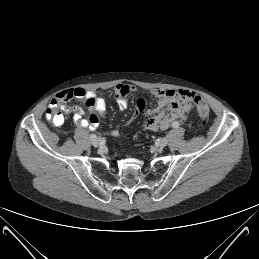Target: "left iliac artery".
I'll list each match as a JSON object with an SVG mask.
<instances>
[{"label":"left iliac artery","mask_w":259,"mask_h":259,"mask_svg":"<svg viewBox=\"0 0 259 259\" xmlns=\"http://www.w3.org/2000/svg\"><path fill=\"white\" fill-rule=\"evenodd\" d=\"M172 127L173 128H178L179 127V123L178 122H173L172 123Z\"/></svg>","instance_id":"obj_1"}]
</instances>
